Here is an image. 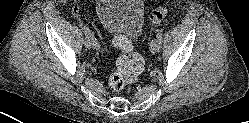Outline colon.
Returning a JSON list of instances; mask_svg holds the SVG:
<instances>
[{
	"label": "colon",
	"mask_w": 249,
	"mask_h": 123,
	"mask_svg": "<svg viewBox=\"0 0 249 123\" xmlns=\"http://www.w3.org/2000/svg\"><path fill=\"white\" fill-rule=\"evenodd\" d=\"M166 13V8L160 6L151 12L150 18L153 22L158 23ZM116 46L121 54L117 59V70L110 75L108 83L113 91H120L138 79L144 70V60L134 51L128 39L120 38Z\"/></svg>",
	"instance_id": "colon-1"
}]
</instances>
